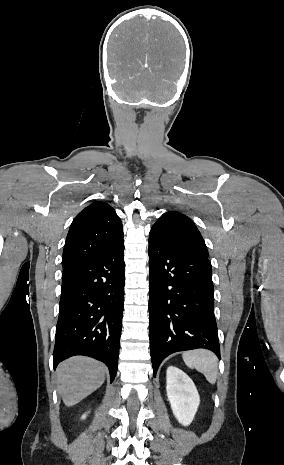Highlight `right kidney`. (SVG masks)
I'll return each instance as SVG.
<instances>
[{
    "label": "right kidney",
    "instance_id": "right-kidney-1",
    "mask_svg": "<svg viewBox=\"0 0 284 465\" xmlns=\"http://www.w3.org/2000/svg\"><path fill=\"white\" fill-rule=\"evenodd\" d=\"M86 415H83L82 419H85Z\"/></svg>",
    "mask_w": 284,
    "mask_h": 465
}]
</instances>
